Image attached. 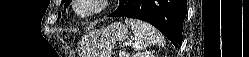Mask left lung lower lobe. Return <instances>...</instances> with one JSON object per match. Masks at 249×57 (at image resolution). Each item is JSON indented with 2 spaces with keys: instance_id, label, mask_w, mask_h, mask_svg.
Returning a JSON list of instances; mask_svg holds the SVG:
<instances>
[{
  "instance_id": "1",
  "label": "left lung lower lobe",
  "mask_w": 249,
  "mask_h": 57,
  "mask_svg": "<svg viewBox=\"0 0 249 57\" xmlns=\"http://www.w3.org/2000/svg\"><path fill=\"white\" fill-rule=\"evenodd\" d=\"M186 11V0H120L118 9L109 16L131 17L149 22L175 47H179Z\"/></svg>"
}]
</instances>
